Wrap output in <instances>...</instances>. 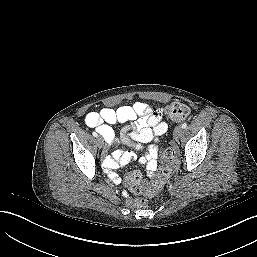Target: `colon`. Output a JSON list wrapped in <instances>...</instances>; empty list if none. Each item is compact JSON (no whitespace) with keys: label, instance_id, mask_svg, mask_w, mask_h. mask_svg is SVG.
Returning a JSON list of instances; mask_svg holds the SVG:
<instances>
[{"label":"colon","instance_id":"5ec220e1","mask_svg":"<svg viewBox=\"0 0 257 257\" xmlns=\"http://www.w3.org/2000/svg\"><path fill=\"white\" fill-rule=\"evenodd\" d=\"M166 114L174 122H181L190 115V108L183 103L173 102L166 109ZM163 167L158 171L157 176L150 182H145L138 171L131 172L126 177V184L136 194H143L145 198H137L135 204L145 206L148 199L156 197L162 189L164 180L171 174L177 164L176 153L173 148L164 151L162 157Z\"/></svg>","mask_w":257,"mask_h":257}]
</instances>
